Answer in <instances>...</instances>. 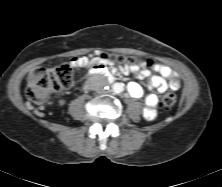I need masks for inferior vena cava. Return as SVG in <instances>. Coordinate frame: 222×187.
I'll return each mask as SVG.
<instances>
[{
	"label": "inferior vena cava",
	"instance_id": "inferior-vena-cava-1",
	"mask_svg": "<svg viewBox=\"0 0 222 187\" xmlns=\"http://www.w3.org/2000/svg\"><path fill=\"white\" fill-rule=\"evenodd\" d=\"M95 90L98 93H102L103 92V87L107 85V79L104 76H101L100 80H98L95 84Z\"/></svg>",
	"mask_w": 222,
	"mask_h": 187
}]
</instances>
